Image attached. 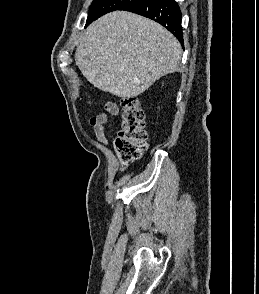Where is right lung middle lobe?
Segmentation results:
<instances>
[{
	"mask_svg": "<svg viewBox=\"0 0 259 294\" xmlns=\"http://www.w3.org/2000/svg\"><path fill=\"white\" fill-rule=\"evenodd\" d=\"M135 1L136 0H93L88 13L86 25L108 12L121 10L126 5Z\"/></svg>",
	"mask_w": 259,
	"mask_h": 294,
	"instance_id": "1",
	"label": "right lung middle lobe"
}]
</instances>
